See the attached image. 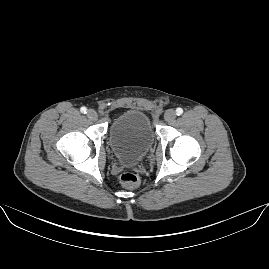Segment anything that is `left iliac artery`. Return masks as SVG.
<instances>
[{
  "label": "left iliac artery",
  "instance_id": "44dca946",
  "mask_svg": "<svg viewBox=\"0 0 269 269\" xmlns=\"http://www.w3.org/2000/svg\"><path fill=\"white\" fill-rule=\"evenodd\" d=\"M183 113V109L182 108H177L176 109V114L179 116Z\"/></svg>",
  "mask_w": 269,
  "mask_h": 269
}]
</instances>
